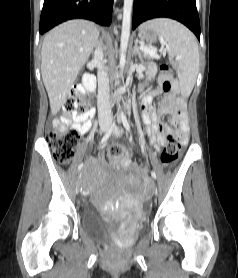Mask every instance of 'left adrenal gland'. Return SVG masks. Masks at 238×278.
Returning <instances> with one entry per match:
<instances>
[{
    "instance_id": "left-adrenal-gland-1",
    "label": "left adrenal gland",
    "mask_w": 238,
    "mask_h": 278,
    "mask_svg": "<svg viewBox=\"0 0 238 278\" xmlns=\"http://www.w3.org/2000/svg\"><path fill=\"white\" fill-rule=\"evenodd\" d=\"M138 43H139V40L136 39V40H135L134 49H133V54H134V55H138L140 61L143 62V54H142V52H141V50H140V48H139Z\"/></svg>"
}]
</instances>
